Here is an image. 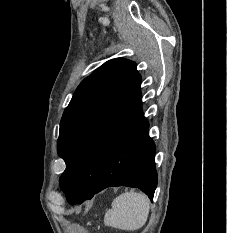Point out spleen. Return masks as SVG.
Here are the masks:
<instances>
[{"instance_id":"spleen-1","label":"spleen","mask_w":227,"mask_h":233,"mask_svg":"<svg viewBox=\"0 0 227 233\" xmlns=\"http://www.w3.org/2000/svg\"><path fill=\"white\" fill-rule=\"evenodd\" d=\"M150 201L143 193L125 192L112 202L104 217V224L121 230L134 231L145 225Z\"/></svg>"}]
</instances>
